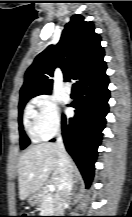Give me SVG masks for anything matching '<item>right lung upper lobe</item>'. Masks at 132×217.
Segmentation results:
<instances>
[{"instance_id":"right-lung-upper-lobe-1","label":"right lung upper lobe","mask_w":132,"mask_h":217,"mask_svg":"<svg viewBox=\"0 0 132 217\" xmlns=\"http://www.w3.org/2000/svg\"><path fill=\"white\" fill-rule=\"evenodd\" d=\"M92 22L81 15L71 17L56 46L50 45L36 56L25 73L20 99L51 94L53 72L60 67L65 81L74 79L78 87L107 77L101 38Z\"/></svg>"}]
</instances>
